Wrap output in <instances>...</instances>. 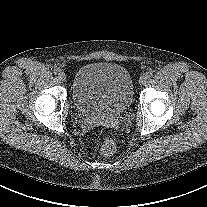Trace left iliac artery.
Segmentation results:
<instances>
[{"label":"left iliac artery","instance_id":"44dca946","mask_svg":"<svg viewBox=\"0 0 207 207\" xmlns=\"http://www.w3.org/2000/svg\"><path fill=\"white\" fill-rule=\"evenodd\" d=\"M146 75H147V77H151L153 75V72L152 71H148V72H146Z\"/></svg>","mask_w":207,"mask_h":207}]
</instances>
